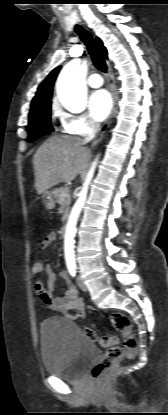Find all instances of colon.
Wrapping results in <instances>:
<instances>
[{
    "label": "colon",
    "mask_w": 168,
    "mask_h": 415,
    "mask_svg": "<svg viewBox=\"0 0 168 415\" xmlns=\"http://www.w3.org/2000/svg\"><path fill=\"white\" fill-rule=\"evenodd\" d=\"M45 261L36 259L29 266V273L32 274L31 281L33 283H42L44 281L43 267ZM113 327L123 335V344L118 346L116 337H101L92 328L85 327L83 329L84 336L91 342H97L106 348L105 353L91 370V378L99 380L103 374L115 366L120 360L126 356L134 354L137 348V340L131 330L130 319L121 313H112L110 316Z\"/></svg>",
    "instance_id": "colon-1"
}]
</instances>
